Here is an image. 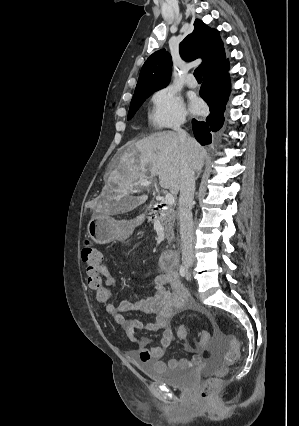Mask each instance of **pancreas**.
I'll list each match as a JSON object with an SVG mask.
<instances>
[{"label":"pancreas","instance_id":"obj_1","mask_svg":"<svg viewBox=\"0 0 299 426\" xmlns=\"http://www.w3.org/2000/svg\"><path fill=\"white\" fill-rule=\"evenodd\" d=\"M157 215V219L160 220L161 224L165 228L166 238L171 241L174 238V224L176 211L173 207L168 209H160L159 211L153 210L150 215Z\"/></svg>","mask_w":299,"mask_h":426}]
</instances>
